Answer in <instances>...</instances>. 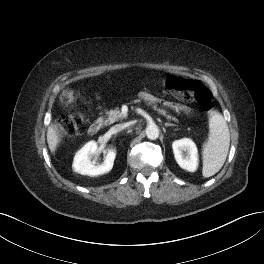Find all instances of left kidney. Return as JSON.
Here are the masks:
<instances>
[{"label": "left kidney", "instance_id": "5707ae66", "mask_svg": "<svg viewBox=\"0 0 264 264\" xmlns=\"http://www.w3.org/2000/svg\"><path fill=\"white\" fill-rule=\"evenodd\" d=\"M174 157L178 165L190 172L198 166V150L196 144L188 138L176 140L172 144Z\"/></svg>", "mask_w": 264, "mask_h": 264}]
</instances>
